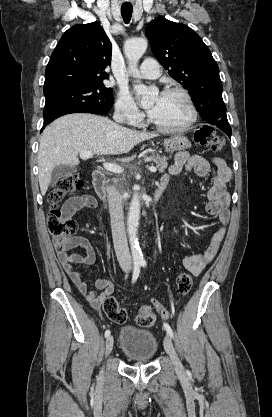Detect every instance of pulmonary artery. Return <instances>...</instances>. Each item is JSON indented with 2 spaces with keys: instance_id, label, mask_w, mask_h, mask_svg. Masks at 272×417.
Instances as JSON below:
<instances>
[{
  "instance_id": "e3ab8cb5",
  "label": "pulmonary artery",
  "mask_w": 272,
  "mask_h": 417,
  "mask_svg": "<svg viewBox=\"0 0 272 417\" xmlns=\"http://www.w3.org/2000/svg\"><path fill=\"white\" fill-rule=\"evenodd\" d=\"M160 74V67L157 61L152 58H147L142 63L136 76L143 79H157Z\"/></svg>"
}]
</instances>
